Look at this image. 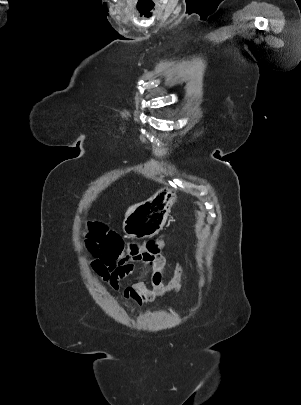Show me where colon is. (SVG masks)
<instances>
[{
	"label": "colon",
	"instance_id": "5ec220e1",
	"mask_svg": "<svg viewBox=\"0 0 301 405\" xmlns=\"http://www.w3.org/2000/svg\"><path fill=\"white\" fill-rule=\"evenodd\" d=\"M171 226L162 225V230L156 232L153 240L142 245L137 243H124L119 234L110 230L101 222H90L86 230V245L89 251L101 260L106 266H113L123 254L131 256L153 255L160 251L161 245L158 238L169 236Z\"/></svg>",
	"mask_w": 301,
	"mask_h": 405
}]
</instances>
